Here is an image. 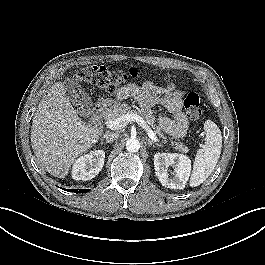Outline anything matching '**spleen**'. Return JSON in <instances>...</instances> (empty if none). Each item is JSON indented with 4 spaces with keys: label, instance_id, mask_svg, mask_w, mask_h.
<instances>
[{
    "label": "spleen",
    "instance_id": "3e777b00",
    "mask_svg": "<svg viewBox=\"0 0 265 265\" xmlns=\"http://www.w3.org/2000/svg\"><path fill=\"white\" fill-rule=\"evenodd\" d=\"M205 144L197 151L190 186L196 187L202 184L214 170L221 154L222 135L218 126L211 120L204 124Z\"/></svg>",
    "mask_w": 265,
    "mask_h": 265
}]
</instances>
